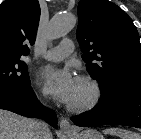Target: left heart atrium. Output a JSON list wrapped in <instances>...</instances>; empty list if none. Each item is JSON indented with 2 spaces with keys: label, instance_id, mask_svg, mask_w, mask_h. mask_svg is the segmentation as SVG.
Returning a JSON list of instances; mask_svg holds the SVG:
<instances>
[{
  "label": "left heart atrium",
  "instance_id": "1",
  "mask_svg": "<svg viewBox=\"0 0 141 139\" xmlns=\"http://www.w3.org/2000/svg\"><path fill=\"white\" fill-rule=\"evenodd\" d=\"M39 78L48 94L61 102H70L77 79L69 69L47 66L39 72Z\"/></svg>",
  "mask_w": 141,
  "mask_h": 139
}]
</instances>
